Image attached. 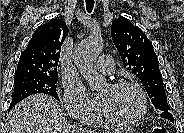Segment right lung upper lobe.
I'll return each mask as SVG.
<instances>
[{"label":"right lung upper lobe","instance_id":"cb5924a9","mask_svg":"<svg viewBox=\"0 0 184 133\" xmlns=\"http://www.w3.org/2000/svg\"><path fill=\"white\" fill-rule=\"evenodd\" d=\"M68 31L62 19L38 27L20 56L14 78L58 76L60 49Z\"/></svg>","mask_w":184,"mask_h":133}]
</instances>
